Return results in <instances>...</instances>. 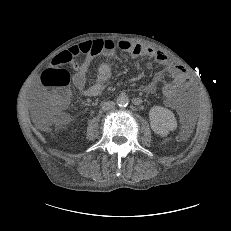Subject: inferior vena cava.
Here are the masks:
<instances>
[{"mask_svg": "<svg viewBox=\"0 0 231 231\" xmlns=\"http://www.w3.org/2000/svg\"><path fill=\"white\" fill-rule=\"evenodd\" d=\"M115 107V103L113 101H106L102 104V110L108 111L112 110Z\"/></svg>", "mask_w": 231, "mask_h": 231, "instance_id": "602c4592", "label": "inferior vena cava"}]
</instances>
